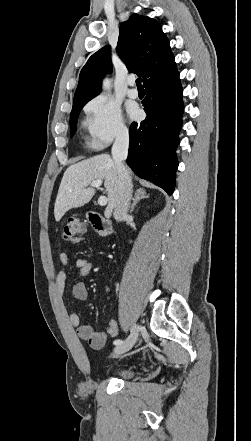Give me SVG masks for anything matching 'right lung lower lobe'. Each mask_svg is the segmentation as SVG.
Masks as SVG:
<instances>
[{
	"mask_svg": "<svg viewBox=\"0 0 251 441\" xmlns=\"http://www.w3.org/2000/svg\"><path fill=\"white\" fill-rule=\"evenodd\" d=\"M142 101L147 117L129 129L127 164L140 178L149 180L169 195L174 191L178 167L176 148L182 126V87L176 65L149 79Z\"/></svg>",
	"mask_w": 251,
	"mask_h": 441,
	"instance_id": "98d812e1",
	"label": "right lung lower lobe"
}]
</instances>
